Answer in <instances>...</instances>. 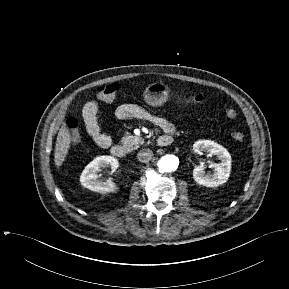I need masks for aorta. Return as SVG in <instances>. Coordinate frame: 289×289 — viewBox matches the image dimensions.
<instances>
[{"instance_id": "1", "label": "aorta", "mask_w": 289, "mask_h": 289, "mask_svg": "<svg viewBox=\"0 0 289 289\" xmlns=\"http://www.w3.org/2000/svg\"><path fill=\"white\" fill-rule=\"evenodd\" d=\"M179 165V159L175 155L162 156L157 162L159 172L171 173L177 170Z\"/></svg>"}]
</instances>
